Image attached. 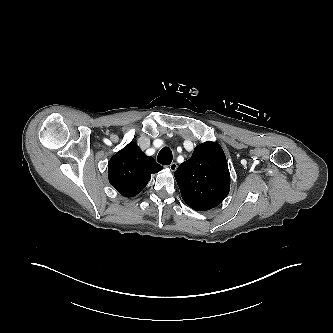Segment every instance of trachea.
<instances>
[{
  "mask_svg": "<svg viewBox=\"0 0 333 333\" xmlns=\"http://www.w3.org/2000/svg\"><path fill=\"white\" fill-rule=\"evenodd\" d=\"M157 161L163 165H169L172 162V152L170 148L164 147L157 156Z\"/></svg>",
  "mask_w": 333,
  "mask_h": 333,
  "instance_id": "obj_1",
  "label": "trachea"
}]
</instances>
